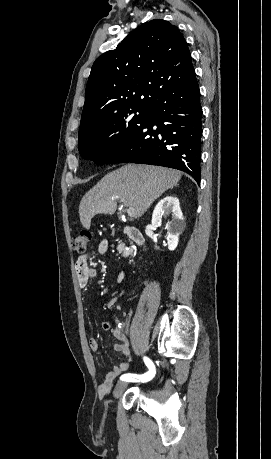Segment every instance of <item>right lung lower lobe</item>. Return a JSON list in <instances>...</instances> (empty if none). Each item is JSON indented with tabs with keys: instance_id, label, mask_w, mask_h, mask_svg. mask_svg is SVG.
<instances>
[{
	"instance_id": "right-lung-lower-lobe-1",
	"label": "right lung lower lobe",
	"mask_w": 271,
	"mask_h": 459,
	"mask_svg": "<svg viewBox=\"0 0 271 459\" xmlns=\"http://www.w3.org/2000/svg\"><path fill=\"white\" fill-rule=\"evenodd\" d=\"M202 113L200 89L194 74L150 103L147 118L108 163L133 162L175 168L187 172L199 184Z\"/></svg>"
}]
</instances>
